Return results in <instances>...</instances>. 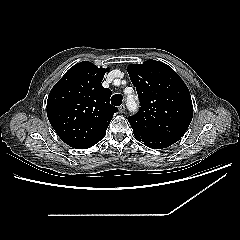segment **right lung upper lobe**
Masks as SVG:
<instances>
[{
	"instance_id": "cb5924a9",
	"label": "right lung upper lobe",
	"mask_w": 240,
	"mask_h": 240,
	"mask_svg": "<svg viewBox=\"0 0 240 240\" xmlns=\"http://www.w3.org/2000/svg\"><path fill=\"white\" fill-rule=\"evenodd\" d=\"M109 69L84 61L71 67L51 89L47 116L69 146L87 149L101 141L118 109L110 105L111 90L102 86Z\"/></svg>"
}]
</instances>
